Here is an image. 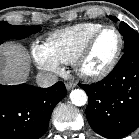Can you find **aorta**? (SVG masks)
<instances>
[{
    "instance_id": "aorta-1",
    "label": "aorta",
    "mask_w": 139,
    "mask_h": 139,
    "mask_svg": "<svg viewBox=\"0 0 139 139\" xmlns=\"http://www.w3.org/2000/svg\"><path fill=\"white\" fill-rule=\"evenodd\" d=\"M71 102L76 106H83L87 103L88 97L85 91L81 89H74L70 93Z\"/></svg>"
}]
</instances>
